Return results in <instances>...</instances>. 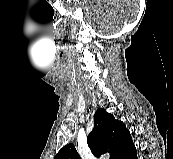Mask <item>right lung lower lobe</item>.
Listing matches in <instances>:
<instances>
[{
  "label": "right lung lower lobe",
  "instance_id": "obj_1",
  "mask_svg": "<svg viewBox=\"0 0 173 159\" xmlns=\"http://www.w3.org/2000/svg\"><path fill=\"white\" fill-rule=\"evenodd\" d=\"M124 159H137L136 149L130 152Z\"/></svg>",
  "mask_w": 173,
  "mask_h": 159
}]
</instances>
